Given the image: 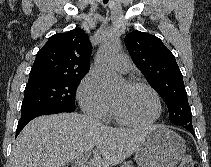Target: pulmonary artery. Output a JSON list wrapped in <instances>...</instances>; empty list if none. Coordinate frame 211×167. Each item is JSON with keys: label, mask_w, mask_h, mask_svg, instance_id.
I'll list each match as a JSON object with an SVG mask.
<instances>
[{"label": "pulmonary artery", "mask_w": 211, "mask_h": 167, "mask_svg": "<svg viewBox=\"0 0 211 167\" xmlns=\"http://www.w3.org/2000/svg\"><path fill=\"white\" fill-rule=\"evenodd\" d=\"M113 66L121 73H127L131 69V60L126 54H119L113 62Z\"/></svg>", "instance_id": "obj_1"}]
</instances>
